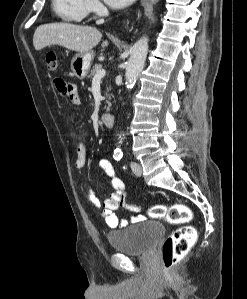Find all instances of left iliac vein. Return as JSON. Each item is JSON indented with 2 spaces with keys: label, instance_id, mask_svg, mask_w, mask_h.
<instances>
[{
  "label": "left iliac vein",
  "instance_id": "1",
  "mask_svg": "<svg viewBox=\"0 0 247 299\" xmlns=\"http://www.w3.org/2000/svg\"><path fill=\"white\" fill-rule=\"evenodd\" d=\"M131 169L137 176L142 175V167L139 163L137 162H131Z\"/></svg>",
  "mask_w": 247,
  "mask_h": 299
}]
</instances>
